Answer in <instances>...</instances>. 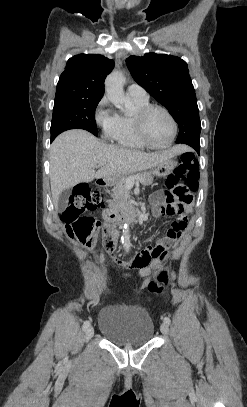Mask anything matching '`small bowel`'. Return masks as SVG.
<instances>
[{
    "label": "small bowel",
    "mask_w": 247,
    "mask_h": 407,
    "mask_svg": "<svg viewBox=\"0 0 247 407\" xmlns=\"http://www.w3.org/2000/svg\"><path fill=\"white\" fill-rule=\"evenodd\" d=\"M150 202L153 206V214L155 216L167 215L170 217L173 216L175 219L164 237L160 238L154 246H149L139 252L130 262L132 267L142 269V285L146 283L154 268L166 258L168 249L181 237L187 227V214L191 211L189 203L182 201L175 202L173 200L164 201L160 193L153 194L150 198ZM116 235L115 231H109L105 234L103 247L98 254L101 271L104 275L108 273L106 267L103 265L105 260L104 252L114 247ZM124 277L131 276L124 274Z\"/></svg>",
    "instance_id": "c3829d8e"
}]
</instances>
